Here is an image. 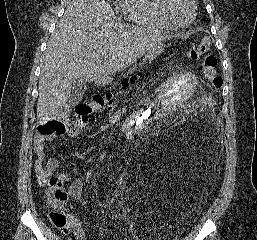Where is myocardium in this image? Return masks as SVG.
Masks as SVG:
<instances>
[{"instance_id": "obj_1", "label": "myocardium", "mask_w": 257, "mask_h": 240, "mask_svg": "<svg viewBox=\"0 0 257 240\" xmlns=\"http://www.w3.org/2000/svg\"><path fill=\"white\" fill-rule=\"evenodd\" d=\"M155 1H156V9H157V12H158L159 16L171 28H174V29H184V28H187L188 26H190L193 23V21L195 20V18L197 16L198 6H197L196 0H190L191 5H192V15H191L190 19L187 22L183 23V24L175 23L174 21H172L169 18V16L166 13V10H165V2H166V0H155Z\"/></svg>"}]
</instances>
